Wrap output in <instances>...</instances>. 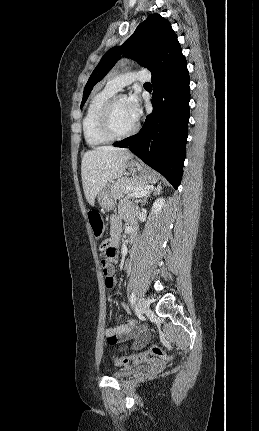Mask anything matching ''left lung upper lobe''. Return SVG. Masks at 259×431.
<instances>
[{
  "instance_id": "5c2ea615",
  "label": "left lung upper lobe",
  "mask_w": 259,
  "mask_h": 431,
  "mask_svg": "<svg viewBox=\"0 0 259 431\" xmlns=\"http://www.w3.org/2000/svg\"><path fill=\"white\" fill-rule=\"evenodd\" d=\"M177 41V35L168 20L151 14L138 25L134 33L121 45L108 50L92 72L83 93L81 108L90 91L112 69L123 54L152 72L161 63L168 48Z\"/></svg>"
}]
</instances>
